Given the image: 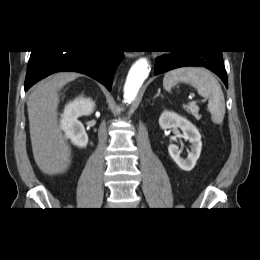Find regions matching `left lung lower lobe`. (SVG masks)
Returning <instances> with one entry per match:
<instances>
[{"mask_svg":"<svg viewBox=\"0 0 260 260\" xmlns=\"http://www.w3.org/2000/svg\"><path fill=\"white\" fill-rule=\"evenodd\" d=\"M205 67L216 73L228 88L227 73L224 67L222 51H182V53L165 55L156 59L154 74L158 75L169 70L186 67Z\"/></svg>","mask_w":260,"mask_h":260,"instance_id":"1","label":"left lung lower lobe"}]
</instances>
